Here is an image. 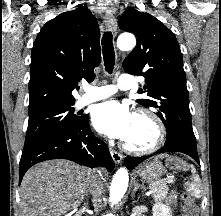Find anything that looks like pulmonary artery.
I'll use <instances>...</instances> for the list:
<instances>
[{
  "instance_id": "obj_1",
  "label": "pulmonary artery",
  "mask_w": 221,
  "mask_h": 216,
  "mask_svg": "<svg viewBox=\"0 0 221 216\" xmlns=\"http://www.w3.org/2000/svg\"><path fill=\"white\" fill-rule=\"evenodd\" d=\"M134 80L128 74H122L118 77L116 85H102V86H85L84 94L77 100L76 107L81 108L92 102L107 98L116 91L128 90L134 87Z\"/></svg>"
}]
</instances>
